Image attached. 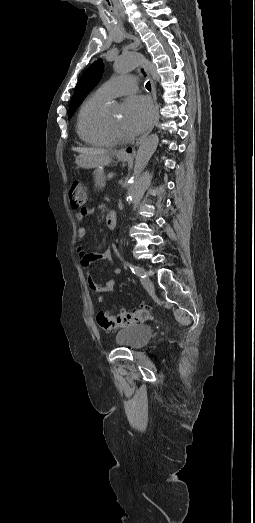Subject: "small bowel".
Returning a JSON list of instances; mask_svg holds the SVG:
<instances>
[{"label":"small bowel","mask_w":255,"mask_h":523,"mask_svg":"<svg viewBox=\"0 0 255 523\" xmlns=\"http://www.w3.org/2000/svg\"><path fill=\"white\" fill-rule=\"evenodd\" d=\"M93 213V210L91 208L85 207L80 209L76 213V219L77 221L81 222L83 221L87 216L91 215ZM87 234V228L85 226H81L78 228L77 231V253L79 256L80 264L83 268L89 269L92 262L96 260H106L110 263L114 261L111 250L106 249L103 253H90L84 250L83 244L84 240ZM114 276H119L121 274V269L115 268L113 271ZM116 280L115 278H110L104 283H97L91 275H88V285L89 287L98 292V293H107L110 292L114 286H115Z\"/></svg>","instance_id":"1"}]
</instances>
